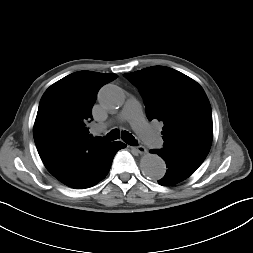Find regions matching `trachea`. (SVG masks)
<instances>
[{
    "label": "trachea",
    "mask_w": 253,
    "mask_h": 253,
    "mask_svg": "<svg viewBox=\"0 0 253 253\" xmlns=\"http://www.w3.org/2000/svg\"><path fill=\"white\" fill-rule=\"evenodd\" d=\"M120 136V131L118 129H114L110 131L104 138V142H109L118 139ZM122 140L132 146H137V141L135 140L134 136L127 131H123L121 133Z\"/></svg>",
    "instance_id": "trachea-1"
}]
</instances>
